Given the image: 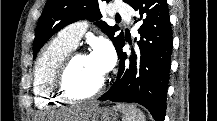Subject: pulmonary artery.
I'll return each mask as SVG.
<instances>
[{"instance_id":"pulmonary-artery-1","label":"pulmonary artery","mask_w":217,"mask_h":121,"mask_svg":"<svg viewBox=\"0 0 217 121\" xmlns=\"http://www.w3.org/2000/svg\"><path fill=\"white\" fill-rule=\"evenodd\" d=\"M116 12L119 16H122L127 23L131 20L130 10L124 6H118ZM88 29V23L86 21H79L65 27L60 33L59 37L65 42L76 47L81 37Z\"/></svg>"}]
</instances>
